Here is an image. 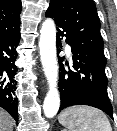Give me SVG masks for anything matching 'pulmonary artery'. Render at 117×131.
Listing matches in <instances>:
<instances>
[{"label": "pulmonary artery", "instance_id": "e3ab8cb5", "mask_svg": "<svg viewBox=\"0 0 117 131\" xmlns=\"http://www.w3.org/2000/svg\"><path fill=\"white\" fill-rule=\"evenodd\" d=\"M67 52H71V48L69 46L66 47Z\"/></svg>", "mask_w": 117, "mask_h": 131}]
</instances>
